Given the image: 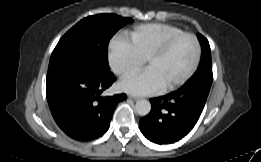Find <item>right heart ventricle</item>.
I'll return each instance as SVG.
<instances>
[{"instance_id":"obj_1","label":"right heart ventricle","mask_w":261,"mask_h":162,"mask_svg":"<svg viewBox=\"0 0 261 162\" xmlns=\"http://www.w3.org/2000/svg\"><path fill=\"white\" fill-rule=\"evenodd\" d=\"M182 32V29L170 24L149 23L135 26L127 35L134 50L145 59L165 40Z\"/></svg>"}]
</instances>
